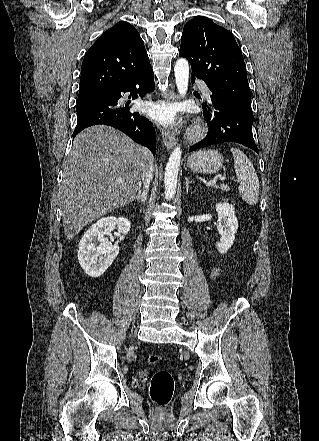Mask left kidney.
Wrapping results in <instances>:
<instances>
[{"label": "left kidney", "instance_id": "obj_1", "mask_svg": "<svg viewBox=\"0 0 319 441\" xmlns=\"http://www.w3.org/2000/svg\"><path fill=\"white\" fill-rule=\"evenodd\" d=\"M216 211L218 212L217 229L221 235L216 247L221 254H225L234 243L235 234L238 230V220L234 206L228 202L216 204Z\"/></svg>", "mask_w": 319, "mask_h": 441}]
</instances>
